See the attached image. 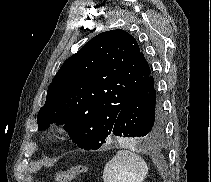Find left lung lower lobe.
<instances>
[{"instance_id":"1","label":"left lung lower lobe","mask_w":211,"mask_h":182,"mask_svg":"<svg viewBox=\"0 0 211 182\" xmlns=\"http://www.w3.org/2000/svg\"><path fill=\"white\" fill-rule=\"evenodd\" d=\"M164 126L163 108L150 73L141 88L120 110L111 134L148 142L158 138Z\"/></svg>"}]
</instances>
